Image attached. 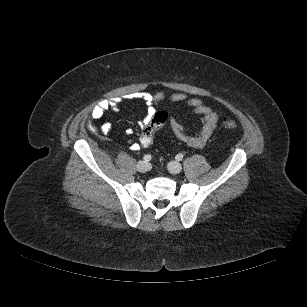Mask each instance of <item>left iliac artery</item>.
<instances>
[{
  "label": "left iliac artery",
  "mask_w": 307,
  "mask_h": 307,
  "mask_svg": "<svg viewBox=\"0 0 307 307\" xmlns=\"http://www.w3.org/2000/svg\"><path fill=\"white\" fill-rule=\"evenodd\" d=\"M183 157H184V155L183 154H181V153H179V154H177L176 155V159L178 160V161H180V160H182L183 159Z\"/></svg>",
  "instance_id": "left-iliac-artery-1"
}]
</instances>
